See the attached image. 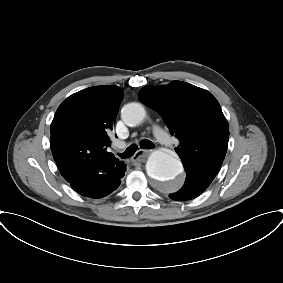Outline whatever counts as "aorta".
<instances>
[{
	"label": "aorta",
	"mask_w": 283,
	"mask_h": 283,
	"mask_svg": "<svg viewBox=\"0 0 283 283\" xmlns=\"http://www.w3.org/2000/svg\"><path fill=\"white\" fill-rule=\"evenodd\" d=\"M145 115V108L140 103H129L121 111L122 120L128 126L140 124ZM146 170L148 176L165 191H177L182 186L183 179L180 177L183 172L182 163L177 157L163 150H155L151 153Z\"/></svg>",
	"instance_id": "1"
}]
</instances>
